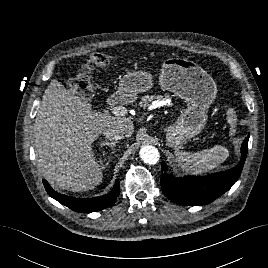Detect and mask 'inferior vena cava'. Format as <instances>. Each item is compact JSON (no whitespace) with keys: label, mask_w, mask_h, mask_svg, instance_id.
Masks as SVG:
<instances>
[{"label":"inferior vena cava","mask_w":268,"mask_h":268,"mask_svg":"<svg viewBox=\"0 0 268 268\" xmlns=\"http://www.w3.org/2000/svg\"><path fill=\"white\" fill-rule=\"evenodd\" d=\"M104 136L109 140H120L126 135V131L120 125L109 126L103 131Z\"/></svg>","instance_id":"602c4592"}]
</instances>
